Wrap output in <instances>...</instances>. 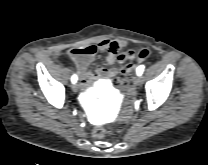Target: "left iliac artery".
Listing matches in <instances>:
<instances>
[{"label":"left iliac artery","instance_id":"44dca946","mask_svg":"<svg viewBox=\"0 0 208 165\" xmlns=\"http://www.w3.org/2000/svg\"><path fill=\"white\" fill-rule=\"evenodd\" d=\"M144 68H145L144 65H141V66H139V67L137 68V75H138V76H141V75H142V73H143V71H144Z\"/></svg>","mask_w":208,"mask_h":165}]
</instances>
